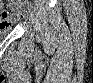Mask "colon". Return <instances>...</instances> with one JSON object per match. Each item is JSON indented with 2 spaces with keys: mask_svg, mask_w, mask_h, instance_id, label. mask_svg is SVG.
I'll use <instances>...</instances> for the list:
<instances>
[{
  "mask_svg": "<svg viewBox=\"0 0 93 83\" xmlns=\"http://www.w3.org/2000/svg\"><path fill=\"white\" fill-rule=\"evenodd\" d=\"M16 1H2V7H1V18L4 21H11L12 19H9L10 15H13L16 13V10L9 9L6 4H13Z\"/></svg>",
  "mask_w": 93,
  "mask_h": 83,
  "instance_id": "1",
  "label": "colon"
}]
</instances>
